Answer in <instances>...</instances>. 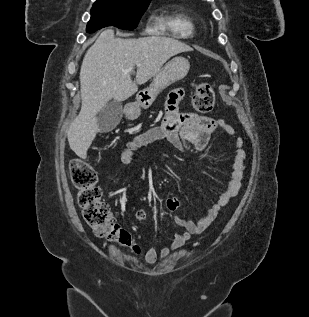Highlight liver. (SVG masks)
Here are the masks:
<instances>
[{"instance_id":"1","label":"liver","mask_w":309,"mask_h":317,"mask_svg":"<svg viewBox=\"0 0 309 317\" xmlns=\"http://www.w3.org/2000/svg\"><path fill=\"white\" fill-rule=\"evenodd\" d=\"M193 49L183 42L161 36L137 39L115 38L104 30L86 52L80 70L81 110L71 123L67 138L70 148L83 159L99 130L97 115L111 99L125 101L138 85L154 77L163 64ZM137 67L136 82L131 73Z\"/></svg>"}]
</instances>
